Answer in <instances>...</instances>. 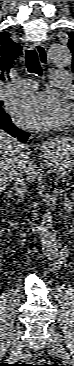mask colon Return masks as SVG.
Listing matches in <instances>:
<instances>
[{
  "instance_id": "obj_1",
  "label": "colon",
  "mask_w": 74,
  "mask_h": 366,
  "mask_svg": "<svg viewBox=\"0 0 74 366\" xmlns=\"http://www.w3.org/2000/svg\"><path fill=\"white\" fill-rule=\"evenodd\" d=\"M25 366H53V365L43 360H40V361H34L31 364H25Z\"/></svg>"
}]
</instances>
